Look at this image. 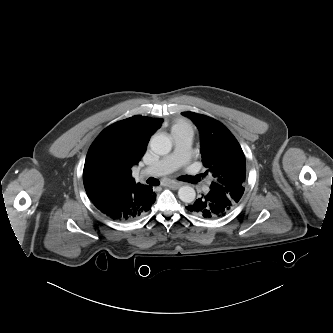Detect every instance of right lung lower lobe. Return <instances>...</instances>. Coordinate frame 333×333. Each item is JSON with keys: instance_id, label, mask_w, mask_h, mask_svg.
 Instances as JSON below:
<instances>
[{"instance_id": "1", "label": "right lung lower lobe", "mask_w": 333, "mask_h": 333, "mask_svg": "<svg viewBox=\"0 0 333 333\" xmlns=\"http://www.w3.org/2000/svg\"><path fill=\"white\" fill-rule=\"evenodd\" d=\"M95 207L113 220L126 222L143 215L155 202L156 194L152 187L128 190L125 192H104L89 196Z\"/></svg>"}]
</instances>
